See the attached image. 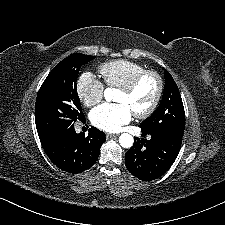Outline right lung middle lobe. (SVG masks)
Segmentation results:
<instances>
[{
  "label": "right lung middle lobe",
  "instance_id": "dd1d6c3e",
  "mask_svg": "<svg viewBox=\"0 0 225 225\" xmlns=\"http://www.w3.org/2000/svg\"><path fill=\"white\" fill-rule=\"evenodd\" d=\"M95 56L74 53L59 62L43 82L36 98L35 122L40 140L74 127L84 118L77 94L80 67Z\"/></svg>",
  "mask_w": 225,
  "mask_h": 225
}]
</instances>
